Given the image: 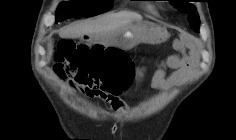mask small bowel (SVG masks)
Here are the masks:
<instances>
[{
  "label": "small bowel",
  "mask_w": 236,
  "mask_h": 140,
  "mask_svg": "<svg viewBox=\"0 0 236 140\" xmlns=\"http://www.w3.org/2000/svg\"><path fill=\"white\" fill-rule=\"evenodd\" d=\"M174 48L177 51L176 54L168 56L155 66L151 78L153 88L162 90L172 88L184 80L192 71L194 62L187 55L183 42L176 41ZM169 70L171 73H168ZM110 103L116 111L126 109L125 103L119 98Z\"/></svg>",
  "instance_id": "c3829d8e"
}]
</instances>
